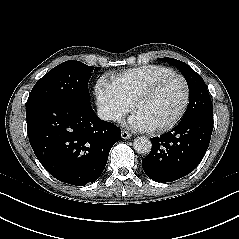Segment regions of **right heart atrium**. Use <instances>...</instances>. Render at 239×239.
I'll return each instance as SVG.
<instances>
[{"instance_id": "right-heart-atrium-1", "label": "right heart atrium", "mask_w": 239, "mask_h": 239, "mask_svg": "<svg viewBox=\"0 0 239 239\" xmlns=\"http://www.w3.org/2000/svg\"><path fill=\"white\" fill-rule=\"evenodd\" d=\"M95 96L101 116L110 122L121 120L129 111L130 105L115 90L112 83L100 77L95 85Z\"/></svg>"}]
</instances>
